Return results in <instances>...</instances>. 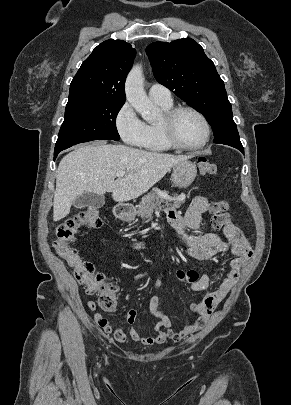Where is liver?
Wrapping results in <instances>:
<instances>
[{"mask_svg":"<svg viewBox=\"0 0 291 405\" xmlns=\"http://www.w3.org/2000/svg\"><path fill=\"white\" fill-rule=\"evenodd\" d=\"M187 159V156L148 152L125 145L78 147L59 163L53 220L65 218L74 200L85 192L97 195L111 192L116 202L137 198ZM119 171H126V175L115 180Z\"/></svg>","mask_w":291,"mask_h":405,"instance_id":"1","label":"liver"}]
</instances>
